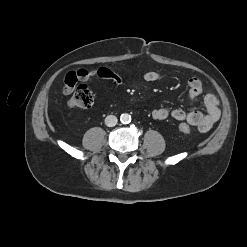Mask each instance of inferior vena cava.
Listing matches in <instances>:
<instances>
[{"label":"inferior vena cava","instance_id":"602c4592","mask_svg":"<svg viewBox=\"0 0 247 247\" xmlns=\"http://www.w3.org/2000/svg\"><path fill=\"white\" fill-rule=\"evenodd\" d=\"M118 122V119L116 116L114 115H108L106 118H105V124L108 126V127H113L117 124Z\"/></svg>","mask_w":247,"mask_h":247}]
</instances>
